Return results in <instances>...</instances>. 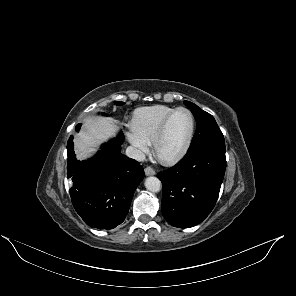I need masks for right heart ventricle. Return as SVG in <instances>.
<instances>
[{
	"instance_id": "e07e8e85",
	"label": "right heart ventricle",
	"mask_w": 296,
	"mask_h": 296,
	"mask_svg": "<svg viewBox=\"0 0 296 296\" xmlns=\"http://www.w3.org/2000/svg\"><path fill=\"white\" fill-rule=\"evenodd\" d=\"M174 109L165 105L139 108L132 116L131 130L139 139L151 145L161 123Z\"/></svg>"
}]
</instances>
